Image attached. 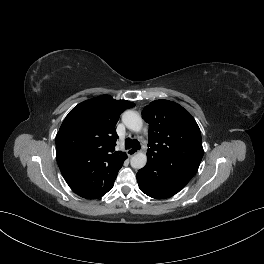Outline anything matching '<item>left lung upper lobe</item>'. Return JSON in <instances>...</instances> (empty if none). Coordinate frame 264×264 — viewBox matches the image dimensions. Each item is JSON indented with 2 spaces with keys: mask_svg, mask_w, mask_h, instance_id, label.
<instances>
[{
  "mask_svg": "<svg viewBox=\"0 0 264 264\" xmlns=\"http://www.w3.org/2000/svg\"><path fill=\"white\" fill-rule=\"evenodd\" d=\"M142 116L149 123L148 160L156 162L162 171L180 172L190 180L203 157L201 132L195 119L168 100L152 101Z\"/></svg>",
  "mask_w": 264,
  "mask_h": 264,
  "instance_id": "5c2ea615",
  "label": "left lung upper lobe"
}]
</instances>
